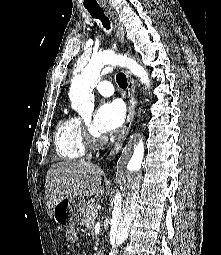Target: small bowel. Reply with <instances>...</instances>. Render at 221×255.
Listing matches in <instances>:
<instances>
[{
    "label": "small bowel",
    "mask_w": 221,
    "mask_h": 255,
    "mask_svg": "<svg viewBox=\"0 0 221 255\" xmlns=\"http://www.w3.org/2000/svg\"><path fill=\"white\" fill-rule=\"evenodd\" d=\"M77 233L75 230L70 229L66 233V239L69 243L74 244L77 241Z\"/></svg>",
    "instance_id": "small-bowel-1"
}]
</instances>
